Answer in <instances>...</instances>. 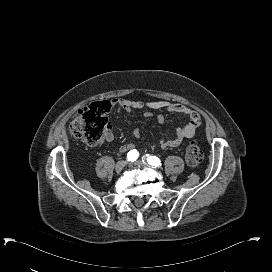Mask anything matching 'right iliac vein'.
Returning <instances> with one entry per match:
<instances>
[{
	"label": "right iliac vein",
	"mask_w": 272,
	"mask_h": 272,
	"mask_svg": "<svg viewBox=\"0 0 272 272\" xmlns=\"http://www.w3.org/2000/svg\"><path fill=\"white\" fill-rule=\"evenodd\" d=\"M126 164H127V161H124V160L118 161L115 165V170L117 172L122 171L124 167L126 166Z\"/></svg>",
	"instance_id": "1"
}]
</instances>
